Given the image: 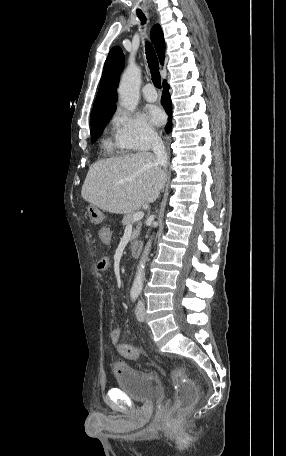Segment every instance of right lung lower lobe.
<instances>
[{"label": "right lung lower lobe", "instance_id": "1", "mask_svg": "<svg viewBox=\"0 0 286 456\" xmlns=\"http://www.w3.org/2000/svg\"><path fill=\"white\" fill-rule=\"evenodd\" d=\"M161 103L163 107L166 109L167 113L169 115L172 114V103H171V98L169 94V85L167 84L166 81L163 82V94L161 98ZM171 120V118H170ZM167 132H170L171 130V121L167 124L166 126Z\"/></svg>", "mask_w": 286, "mask_h": 456}]
</instances>
